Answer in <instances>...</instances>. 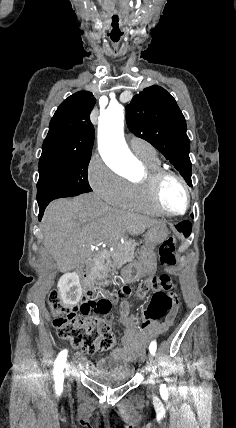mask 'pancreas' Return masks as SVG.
I'll return each instance as SVG.
<instances>
[{"label":"pancreas","mask_w":236,"mask_h":428,"mask_svg":"<svg viewBox=\"0 0 236 428\" xmlns=\"http://www.w3.org/2000/svg\"><path fill=\"white\" fill-rule=\"evenodd\" d=\"M136 246L138 244L135 240H125L124 244H115L113 252L106 254L105 258H98L96 270L99 280H104L105 286L109 282L107 278L109 272H111L110 268L112 266H122L126 262H132L136 256Z\"/></svg>","instance_id":"obj_1"}]
</instances>
